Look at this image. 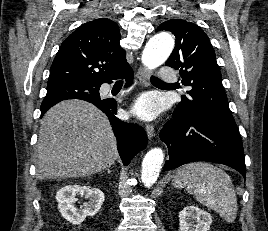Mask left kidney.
<instances>
[{"label":"left kidney","mask_w":268,"mask_h":231,"mask_svg":"<svg viewBox=\"0 0 268 231\" xmlns=\"http://www.w3.org/2000/svg\"><path fill=\"white\" fill-rule=\"evenodd\" d=\"M212 216L197 206H186L179 212L180 231H209Z\"/></svg>","instance_id":"1"}]
</instances>
